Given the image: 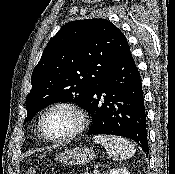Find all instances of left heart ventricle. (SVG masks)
<instances>
[{
  "instance_id": "b2bd125f",
  "label": "left heart ventricle",
  "mask_w": 175,
  "mask_h": 174,
  "mask_svg": "<svg viewBox=\"0 0 175 174\" xmlns=\"http://www.w3.org/2000/svg\"><path fill=\"white\" fill-rule=\"evenodd\" d=\"M76 116L67 109H55L47 114L43 122L46 135L60 138L69 134L76 127Z\"/></svg>"
}]
</instances>
